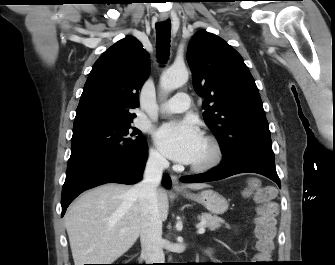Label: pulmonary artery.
<instances>
[{
    "label": "pulmonary artery",
    "mask_w": 335,
    "mask_h": 265,
    "mask_svg": "<svg viewBox=\"0 0 335 265\" xmlns=\"http://www.w3.org/2000/svg\"><path fill=\"white\" fill-rule=\"evenodd\" d=\"M191 106V98L187 93H178L161 108L164 113H182Z\"/></svg>",
    "instance_id": "1"
}]
</instances>
